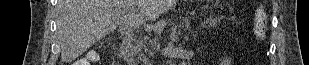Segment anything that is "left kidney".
Here are the masks:
<instances>
[{"instance_id": "1", "label": "left kidney", "mask_w": 309, "mask_h": 65, "mask_svg": "<svg viewBox=\"0 0 309 65\" xmlns=\"http://www.w3.org/2000/svg\"><path fill=\"white\" fill-rule=\"evenodd\" d=\"M231 62H232V59L227 58V57L222 60V64H224V65H229V64H231Z\"/></svg>"}]
</instances>
